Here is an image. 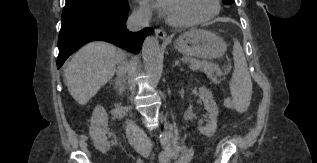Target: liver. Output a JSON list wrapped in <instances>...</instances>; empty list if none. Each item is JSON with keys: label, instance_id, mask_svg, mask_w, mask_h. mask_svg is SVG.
I'll return each mask as SVG.
<instances>
[{"label": "liver", "instance_id": "6515ba94", "mask_svg": "<svg viewBox=\"0 0 317 163\" xmlns=\"http://www.w3.org/2000/svg\"><path fill=\"white\" fill-rule=\"evenodd\" d=\"M124 53L107 42H91L83 46L64 71L69 93L80 105L89 100L112 78L116 64Z\"/></svg>", "mask_w": 317, "mask_h": 163}]
</instances>
